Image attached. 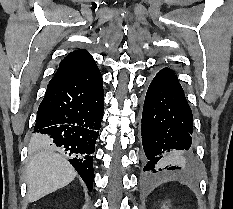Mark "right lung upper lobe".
Wrapping results in <instances>:
<instances>
[{"label": "right lung upper lobe", "mask_w": 233, "mask_h": 209, "mask_svg": "<svg viewBox=\"0 0 233 209\" xmlns=\"http://www.w3.org/2000/svg\"><path fill=\"white\" fill-rule=\"evenodd\" d=\"M94 64L96 63L93 57L86 50H78L69 53L61 61L57 72L48 84V88L74 77Z\"/></svg>", "instance_id": "obj_1"}]
</instances>
